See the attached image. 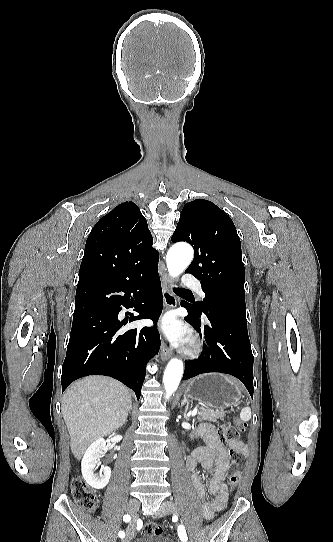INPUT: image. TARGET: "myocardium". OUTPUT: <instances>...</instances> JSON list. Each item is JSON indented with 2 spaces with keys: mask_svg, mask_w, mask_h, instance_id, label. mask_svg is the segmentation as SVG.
Segmentation results:
<instances>
[{
  "mask_svg": "<svg viewBox=\"0 0 333 542\" xmlns=\"http://www.w3.org/2000/svg\"><path fill=\"white\" fill-rule=\"evenodd\" d=\"M200 352H201L200 342H199V339L196 337H192L191 339H189L183 348L184 355L188 357H196L200 354Z\"/></svg>",
  "mask_w": 333,
  "mask_h": 542,
  "instance_id": "myocardium-1",
  "label": "myocardium"
}]
</instances>
